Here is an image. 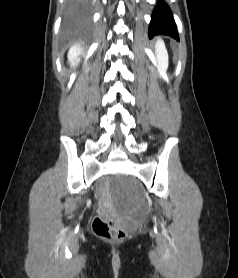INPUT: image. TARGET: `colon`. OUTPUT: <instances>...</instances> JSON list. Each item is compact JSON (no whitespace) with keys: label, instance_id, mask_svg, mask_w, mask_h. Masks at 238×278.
I'll return each instance as SVG.
<instances>
[{"label":"colon","instance_id":"5ec220e1","mask_svg":"<svg viewBox=\"0 0 238 278\" xmlns=\"http://www.w3.org/2000/svg\"><path fill=\"white\" fill-rule=\"evenodd\" d=\"M110 187V177H101L100 190L109 191ZM102 196L106 197L107 193L103 192ZM92 229L96 236L110 241L123 240L127 235L105 199L101 201L100 216L93 221Z\"/></svg>","mask_w":238,"mask_h":278}]
</instances>
